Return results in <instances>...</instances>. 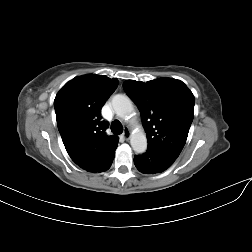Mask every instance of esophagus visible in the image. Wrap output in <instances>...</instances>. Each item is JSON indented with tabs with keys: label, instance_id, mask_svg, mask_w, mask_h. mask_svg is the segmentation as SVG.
Returning a JSON list of instances; mask_svg holds the SVG:
<instances>
[{
	"label": "esophagus",
	"instance_id": "1",
	"mask_svg": "<svg viewBox=\"0 0 252 252\" xmlns=\"http://www.w3.org/2000/svg\"><path fill=\"white\" fill-rule=\"evenodd\" d=\"M123 137L125 139H129V137H130V130L128 128H124V130H123Z\"/></svg>",
	"mask_w": 252,
	"mask_h": 252
}]
</instances>
